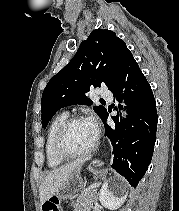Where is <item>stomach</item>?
<instances>
[{"instance_id":"stomach-1","label":"stomach","mask_w":179,"mask_h":211,"mask_svg":"<svg viewBox=\"0 0 179 211\" xmlns=\"http://www.w3.org/2000/svg\"><path fill=\"white\" fill-rule=\"evenodd\" d=\"M83 184L84 181L81 177L80 169L75 170L70 174L59 191L51 198L54 197L59 201L71 199L80 192V190L83 188Z\"/></svg>"}]
</instances>
